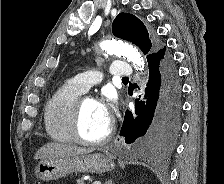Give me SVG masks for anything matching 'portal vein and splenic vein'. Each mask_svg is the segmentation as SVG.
Masks as SVG:
<instances>
[{
  "instance_id": "obj_1",
  "label": "portal vein and splenic vein",
  "mask_w": 224,
  "mask_h": 184,
  "mask_svg": "<svg viewBox=\"0 0 224 184\" xmlns=\"http://www.w3.org/2000/svg\"><path fill=\"white\" fill-rule=\"evenodd\" d=\"M92 184H101L100 181H94Z\"/></svg>"
}]
</instances>
